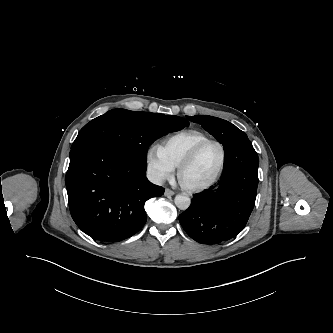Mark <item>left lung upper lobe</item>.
<instances>
[{
  "instance_id": "obj_1",
  "label": "left lung upper lobe",
  "mask_w": 333,
  "mask_h": 333,
  "mask_svg": "<svg viewBox=\"0 0 333 333\" xmlns=\"http://www.w3.org/2000/svg\"><path fill=\"white\" fill-rule=\"evenodd\" d=\"M193 122H198L202 127L212 134L217 141L229 148L236 141L247 138V135L230 122L207 115L187 116Z\"/></svg>"
}]
</instances>
